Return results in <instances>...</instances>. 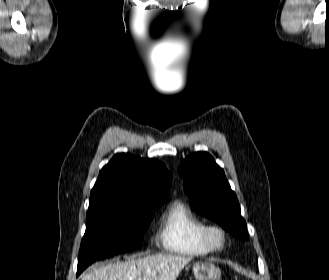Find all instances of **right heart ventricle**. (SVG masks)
Wrapping results in <instances>:
<instances>
[{"instance_id": "1", "label": "right heart ventricle", "mask_w": 329, "mask_h": 280, "mask_svg": "<svg viewBox=\"0 0 329 280\" xmlns=\"http://www.w3.org/2000/svg\"><path fill=\"white\" fill-rule=\"evenodd\" d=\"M206 225L186 203L172 202L165 212L159 240L162 248L171 254L198 257L212 251L202 240V229Z\"/></svg>"}]
</instances>
